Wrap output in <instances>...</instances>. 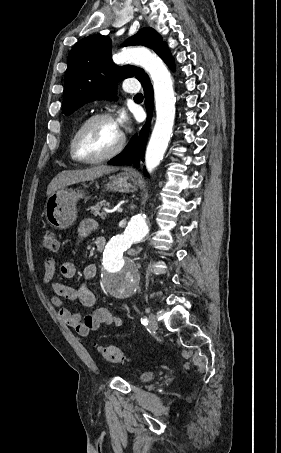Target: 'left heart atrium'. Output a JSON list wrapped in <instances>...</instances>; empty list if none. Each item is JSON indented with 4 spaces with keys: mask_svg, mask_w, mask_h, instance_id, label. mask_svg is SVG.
Listing matches in <instances>:
<instances>
[{
    "mask_svg": "<svg viewBox=\"0 0 281 453\" xmlns=\"http://www.w3.org/2000/svg\"><path fill=\"white\" fill-rule=\"evenodd\" d=\"M116 125L122 129L128 122V116L125 110L120 109L117 113V116L115 118Z\"/></svg>",
    "mask_w": 281,
    "mask_h": 453,
    "instance_id": "1",
    "label": "left heart atrium"
}]
</instances>
